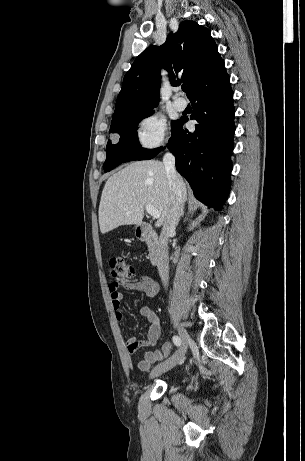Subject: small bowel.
I'll return each instance as SVG.
<instances>
[{"label":"small bowel","mask_w":305,"mask_h":461,"mask_svg":"<svg viewBox=\"0 0 305 461\" xmlns=\"http://www.w3.org/2000/svg\"><path fill=\"white\" fill-rule=\"evenodd\" d=\"M120 289L142 291L148 297H154L159 291L157 282L148 277L143 276L134 280L113 281L109 284V296L111 305L115 311V316L118 322H123L125 317L120 311L123 295ZM140 316L149 325L145 339L138 340L135 337H128L125 341L126 349L130 354H134L139 348L149 346L151 351H147L143 359L139 360L137 366L142 371H148L152 364L162 360L170 352L172 346L165 343L162 351L157 348V341L160 337V321L154 310L149 306L140 308Z\"/></svg>","instance_id":"small-bowel-1"}]
</instances>
